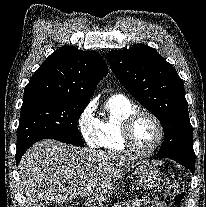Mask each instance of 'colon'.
Here are the masks:
<instances>
[{
  "mask_svg": "<svg viewBox=\"0 0 206 207\" xmlns=\"http://www.w3.org/2000/svg\"><path fill=\"white\" fill-rule=\"evenodd\" d=\"M160 194L171 204L179 205L184 199V189L178 175L170 173L165 176L159 186ZM62 207H75L72 204H64Z\"/></svg>",
  "mask_w": 206,
  "mask_h": 207,
  "instance_id": "obj_1",
  "label": "colon"
}]
</instances>
